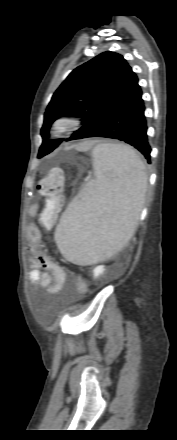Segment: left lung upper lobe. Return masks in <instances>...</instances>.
<instances>
[{
	"mask_svg": "<svg viewBox=\"0 0 177 440\" xmlns=\"http://www.w3.org/2000/svg\"><path fill=\"white\" fill-rule=\"evenodd\" d=\"M138 78L120 54L107 51L74 69L53 94L41 129L38 158L52 152L62 139L47 140L59 117H79L83 126L70 138H84L117 111L135 92Z\"/></svg>",
	"mask_w": 177,
	"mask_h": 440,
	"instance_id": "5c2ea615",
	"label": "left lung upper lobe"
}]
</instances>
